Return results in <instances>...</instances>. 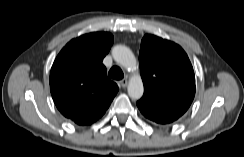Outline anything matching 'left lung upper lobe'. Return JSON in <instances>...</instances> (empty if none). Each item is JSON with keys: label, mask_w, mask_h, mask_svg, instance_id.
<instances>
[{"label": "left lung upper lobe", "mask_w": 244, "mask_h": 157, "mask_svg": "<svg viewBox=\"0 0 244 157\" xmlns=\"http://www.w3.org/2000/svg\"><path fill=\"white\" fill-rule=\"evenodd\" d=\"M144 95L137 102L151 121L168 124L181 117L195 96V75L185 51L177 44L146 34L139 53Z\"/></svg>", "instance_id": "1"}]
</instances>
